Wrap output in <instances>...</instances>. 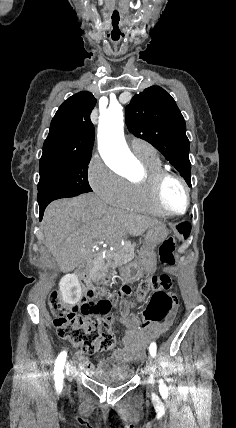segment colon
<instances>
[{
	"label": "colon",
	"mask_w": 236,
	"mask_h": 428,
	"mask_svg": "<svg viewBox=\"0 0 236 428\" xmlns=\"http://www.w3.org/2000/svg\"><path fill=\"white\" fill-rule=\"evenodd\" d=\"M175 246L174 237H168L161 244L159 257L163 264H175ZM81 285L83 297L79 305L65 304L58 291L49 294L48 302L57 335L87 354L110 351L115 346V337L111 331L112 302L98 286H88L83 280ZM172 287V280L165 274L152 276L139 283L136 289L139 298H144L152 292L150 302L143 312V325L159 323L163 319L173 320L177 313L178 300L169 293ZM131 294L132 289L125 285L117 292L116 298L126 305L125 301ZM78 311L81 314H78Z\"/></svg>",
	"instance_id": "obj_1"
}]
</instances>
